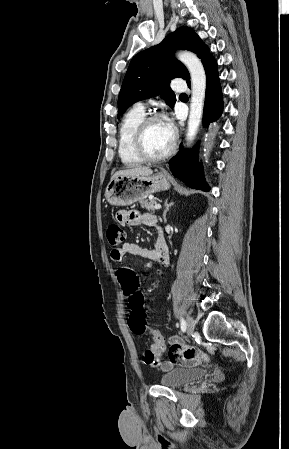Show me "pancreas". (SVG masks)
Wrapping results in <instances>:
<instances>
[{
	"mask_svg": "<svg viewBox=\"0 0 289 449\" xmlns=\"http://www.w3.org/2000/svg\"><path fill=\"white\" fill-rule=\"evenodd\" d=\"M141 207L144 209H147L148 211L154 212L155 211V205L157 204L156 200H143L140 201Z\"/></svg>",
	"mask_w": 289,
	"mask_h": 449,
	"instance_id": "pancreas-1",
	"label": "pancreas"
}]
</instances>
